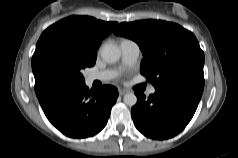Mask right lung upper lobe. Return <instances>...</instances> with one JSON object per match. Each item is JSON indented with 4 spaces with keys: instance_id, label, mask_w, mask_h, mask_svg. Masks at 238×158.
I'll list each match as a JSON object with an SVG mask.
<instances>
[{
    "instance_id": "obj_1",
    "label": "right lung upper lobe",
    "mask_w": 238,
    "mask_h": 158,
    "mask_svg": "<svg viewBox=\"0 0 238 158\" xmlns=\"http://www.w3.org/2000/svg\"><path fill=\"white\" fill-rule=\"evenodd\" d=\"M89 16H70L48 27L43 33H54L79 42L89 53L97 56L102 39L117 26Z\"/></svg>"
}]
</instances>
